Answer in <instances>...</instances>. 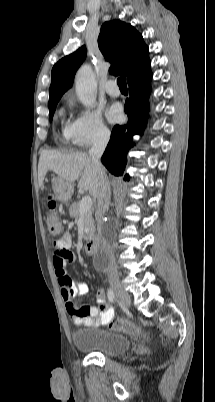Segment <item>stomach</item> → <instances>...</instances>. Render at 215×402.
I'll return each mask as SVG.
<instances>
[{
    "label": "stomach",
    "mask_w": 215,
    "mask_h": 402,
    "mask_svg": "<svg viewBox=\"0 0 215 402\" xmlns=\"http://www.w3.org/2000/svg\"><path fill=\"white\" fill-rule=\"evenodd\" d=\"M73 184L60 177L53 179L54 197L60 202L67 203L73 194Z\"/></svg>",
    "instance_id": "stomach-1"
}]
</instances>
